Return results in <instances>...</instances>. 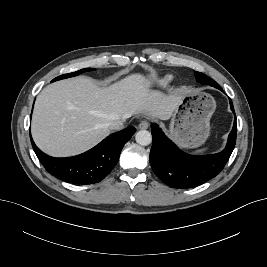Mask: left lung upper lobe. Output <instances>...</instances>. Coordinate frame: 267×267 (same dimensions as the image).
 Returning a JSON list of instances; mask_svg holds the SVG:
<instances>
[{"mask_svg": "<svg viewBox=\"0 0 267 267\" xmlns=\"http://www.w3.org/2000/svg\"><path fill=\"white\" fill-rule=\"evenodd\" d=\"M196 79L198 82L202 84L211 85L213 87L218 85L214 80H212L211 78H209L208 76H206L201 72H196Z\"/></svg>", "mask_w": 267, "mask_h": 267, "instance_id": "1", "label": "left lung upper lobe"}]
</instances>
